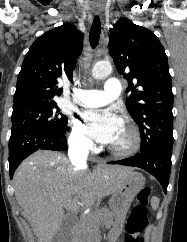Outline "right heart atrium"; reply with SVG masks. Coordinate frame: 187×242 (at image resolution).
I'll use <instances>...</instances> for the list:
<instances>
[{
	"label": "right heart atrium",
	"mask_w": 187,
	"mask_h": 242,
	"mask_svg": "<svg viewBox=\"0 0 187 242\" xmlns=\"http://www.w3.org/2000/svg\"><path fill=\"white\" fill-rule=\"evenodd\" d=\"M69 144L73 150L81 153L89 152L93 148V142L85 134L83 125L78 119H74L72 122Z\"/></svg>",
	"instance_id": "right-heart-atrium-1"
}]
</instances>
